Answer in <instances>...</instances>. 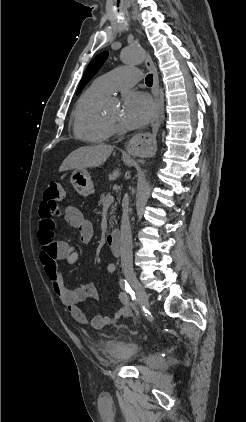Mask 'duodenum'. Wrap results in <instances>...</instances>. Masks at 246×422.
<instances>
[{
  "mask_svg": "<svg viewBox=\"0 0 246 422\" xmlns=\"http://www.w3.org/2000/svg\"><path fill=\"white\" fill-rule=\"evenodd\" d=\"M106 242L115 256H119L121 253L120 247V233L117 230H113L108 233L106 237Z\"/></svg>",
  "mask_w": 246,
  "mask_h": 422,
  "instance_id": "duodenum-1",
  "label": "duodenum"
}]
</instances>
